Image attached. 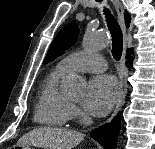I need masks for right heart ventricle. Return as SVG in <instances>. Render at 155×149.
Listing matches in <instances>:
<instances>
[{
    "label": "right heart ventricle",
    "mask_w": 155,
    "mask_h": 149,
    "mask_svg": "<svg viewBox=\"0 0 155 149\" xmlns=\"http://www.w3.org/2000/svg\"><path fill=\"white\" fill-rule=\"evenodd\" d=\"M67 73L57 65L45 78L35 108V121L49 127H63L71 119V103L58 90Z\"/></svg>",
    "instance_id": "right-heart-ventricle-1"
}]
</instances>
